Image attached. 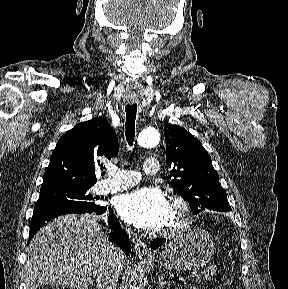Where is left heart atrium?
Returning <instances> with one entry per match:
<instances>
[{
	"instance_id": "left-heart-atrium-1",
	"label": "left heart atrium",
	"mask_w": 288,
	"mask_h": 289,
	"mask_svg": "<svg viewBox=\"0 0 288 289\" xmlns=\"http://www.w3.org/2000/svg\"><path fill=\"white\" fill-rule=\"evenodd\" d=\"M118 214L140 228H157L168 223L170 205L163 193L154 187H143L120 195L115 203Z\"/></svg>"
}]
</instances>
